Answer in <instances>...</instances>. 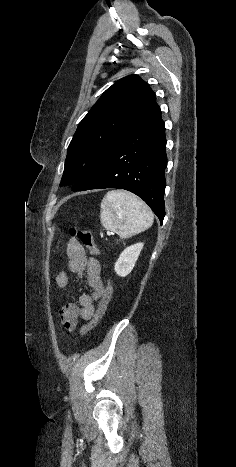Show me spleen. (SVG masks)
Masks as SVG:
<instances>
[{
  "instance_id": "1",
  "label": "spleen",
  "mask_w": 236,
  "mask_h": 467,
  "mask_svg": "<svg viewBox=\"0 0 236 467\" xmlns=\"http://www.w3.org/2000/svg\"><path fill=\"white\" fill-rule=\"evenodd\" d=\"M153 220L154 215L147 204L129 192L109 191L101 202V224L121 239L150 228Z\"/></svg>"
}]
</instances>
